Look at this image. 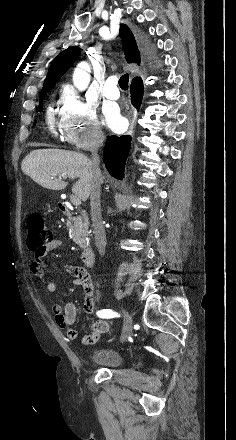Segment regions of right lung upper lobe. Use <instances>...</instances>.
I'll use <instances>...</instances> for the list:
<instances>
[{"instance_id":"1","label":"right lung upper lobe","mask_w":236,"mask_h":440,"mask_svg":"<svg viewBox=\"0 0 236 440\" xmlns=\"http://www.w3.org/2000/svg\"><path fill=\"white\" fill-rule=\"evenodd\" d=\"M120 36L122 38V44L125 52V58L128 63H134L140 65L142 59V52L140 44L136 40L133 32L127 25H120ZM80 55L79 47H71L61 52L51 63L47 77L44 81L43 88L40 93V97L46 94L47 90L54 88L55 83L59 78L72 66L74 61ZM141 78H134L136 81ZM132 81V82H133Z\"/></svg>"}]
</instances>
